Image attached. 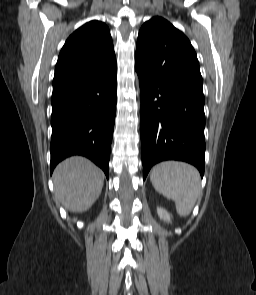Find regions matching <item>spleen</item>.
<instances>
[{
  "label": "spleen",
  "instance_id": "1",
  "mask_svg": "<svg viewBox=\"0 0 256 295\" xmlns=\"http://www.w3.org/2000/svg\"><path fill=\"white\" fill-rule=\"evenodd\" d=\"M150 180L159 194L174 200L180 216L190 214L201 191L196 168L183 162H162L152 169Z\"/></svg>",
  "mask_w": 256,
  "mask_h": 295
}]
</instances>
